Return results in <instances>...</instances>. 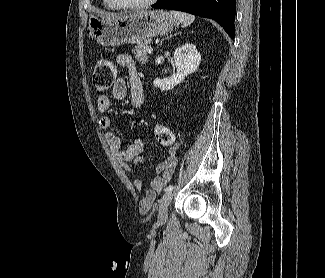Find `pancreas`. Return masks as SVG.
I'll return each instance as SVG.
<instances>
[{"mask_svg": "<svg viewBox=\"0 0 325 278\" xmlns=\"http://www.w3.org/2000/svg\"><path fill=\"white\" fill-rule=\"evenodd\" d=\"M149 43H150V41L147 40V41L135 46L132 50V53L135 56V58L141 63H145L148 60L147 49L149 48V45H148Z\"/></svg>", "mask_w": 325, "mask_h": 278, "instance_id": "obj_1", "label": "pancreas"}]
</instances>
